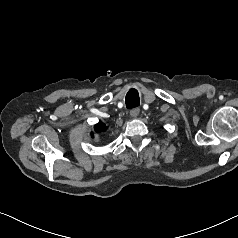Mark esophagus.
I'll return each mask as SVG.
<instances>
[{
    "label": "esophagus",
    "mask_w": 238,
    "mask_h": 238,
    "mask_svg": "<svg viewBox=\"0 0 238 238\" xmlns=\"http://www.w3.org/2000/svg\"><path fill=\"white\" fill-rule=\"evenodd\" d=\"M139 112L140 110L138 108H135L130 111V115L135 118L139 115Z\"/></svg>",
    "instance_id": "esophagus-1"
}]
</instances>
